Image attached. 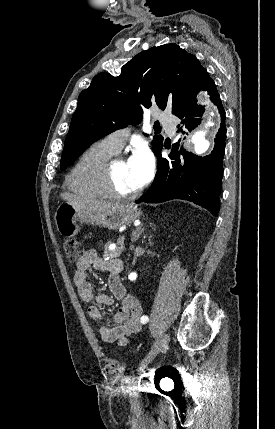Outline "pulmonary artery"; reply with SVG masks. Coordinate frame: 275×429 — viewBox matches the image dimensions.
<instances>
[{
    "label": "pulmonary artery",
    "instance_id": "1",
    "mask_svg": "<svg viewBox=\"0 0 275 429\" xmlns=\"http://www.w3.org/2000/svg\"><path fill=\"white\" fill-rule=\"evenodd\" d=\"M160 122L167 129L170 134H173L175 131L176 120L173 117L162 116ZM128 136L127 131H117L107 135L101 140V142L110 150L118 152L125 143V140Z\"/></svg>",
    "mask_w": 275,
    "mask_h": 429
}]
</instances>
